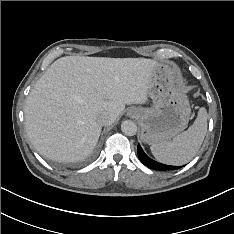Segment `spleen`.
I'll list each match as a JSON object with an SVG mask.
<instances>
[{"label":"spleen","mask_w":234,"mask_h":234,"mask_svg":"<svg viewBox=\"0 0 234 234\" xmlns=\"http://www.w3.org/2000/svg\"><path fill=\"white\" fill-rule=\"evenodd\" d=\"M207 111L200 108L193 125L177 135L172 141L154 144L150 147L153 156L164 164L183 165L198 152L207 132Z\"/></svg>","instance_id":"spleen-1"}]
</instances>
